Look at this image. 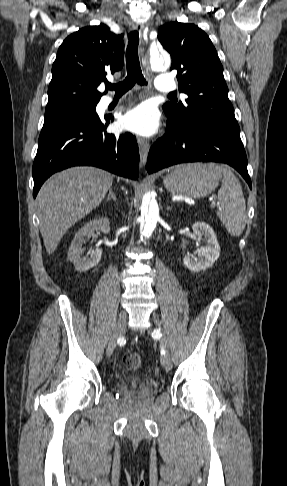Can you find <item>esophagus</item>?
<instances>
[{
    "label": "esophagus",
    "instance_id": "esophagus-1",
    "mask_svg": "<svg viewBox=\"0 0 287 486\" xmlns=\"http://www.w3.org/2000/svg\"><path fill=\"white\" fill-rule=\"evenodd\" d=\"M143 28L144 27H143L142 24H139V23H133L132 24V29L135 30V31H138L139 35H140V41H141L140 52H141V54L144 52L143 39H142ZM137 143L139 145L140 164L142 166H144L147 162V157H148V153H149V148H150L149 142L144 138L137 137Z\"/></svg>",
    "mask_w": 287,
    "mask_h": 486
}]
</instances>
